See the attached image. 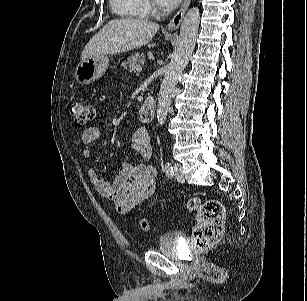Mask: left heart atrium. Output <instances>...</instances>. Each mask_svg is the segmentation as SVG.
<instances>
[{"label":"left heart atrium","instance_id":"1","mask_svg":"<svg viewBox=\"0 0 307 301\" xmlns=\"http://www.w3.org/2000/svg\"><path fill=\"white\" fill-rule=\"evenodd\" d=\"M155 3L162 9L175 8L181 0H154Z\"/></svg>","mask_w":307,"mask_h":301}]
</instances>
